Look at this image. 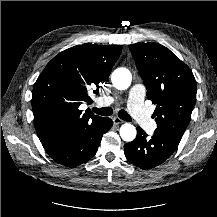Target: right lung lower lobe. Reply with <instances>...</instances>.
<instances>
[{"label": "right lung lower lobe", "mask_w": 217, "mask_h": 217, "mask_svg": "<svg viewBox=\"0 0 217 217\" xmlns=\"http://www.w3.org/2000/svg\"><path fill=\"white\" fill-rule=\"evenodd\" d=\"M112 125L113 121L110 118L101 117L77 133L66 135L42 145L56 163L67 167H75L95 155L103 134Z\"/></svg>", "instance_id": "obj_1"}]
</instances>
